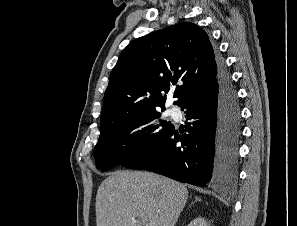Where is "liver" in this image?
I'll list each match as a JSON object with an SVG mask.
<instances>
[{
    "mask_svg": "<svg viewBox=\"0 0 297 226\" xmlns=\"http://www.w3.org/2000/svg\"><path fill=\"white\" fill-rule=\"evenodd\" d=\"M187 188L150 172L115 171L96 195L97 226H175Z\"/></svg>",
    "mask_w": 297,
    "mask_h": 226,
    "instance_id": "liver-1",
    "label": "liver"
}]
</instances>
